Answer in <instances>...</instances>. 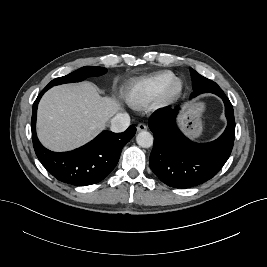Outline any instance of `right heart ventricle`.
Here are the masks:
<instances>
[{"label": "right heart ventricle", "instance_id": "1", "mask_svg": "<svg viewBox=\"0 0 267 267\" xmlns=\"http://www.w3.org/2000/svg\"><path fill=\"white\" fill-rule=\"evenodd\" d=\"M175 78L171 71H160L134 81L125 92L132 106H144L158 99L165 86Z\"/></svg>", "mask_w": 267, "mask_h": 267}]
</instances>
